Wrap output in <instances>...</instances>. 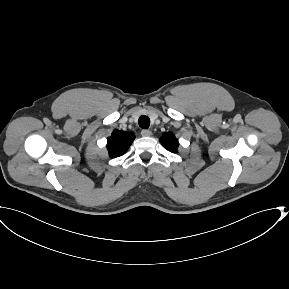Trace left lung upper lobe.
I'll list each match as a JSON object with an SVG mask.
<instances>
[{"label": "left lung upper lobe", "mask_w": 289, "mask_h": 289, "mask_svg": "<svg viewBox=\"0 0 289 289\" xmlns=\"http://www.w3.org/2000/svg\"><path fill=\"white\" fill-rule=\"evenodd\" d=\"M160 142L167 150L173 153L177 151L179 146L178 140L170 132L164 133L160 138Z\"/></svg>", "instance_id": "left-lung-upper-lobe-1"}]
</instances>
